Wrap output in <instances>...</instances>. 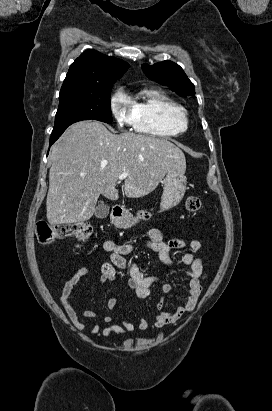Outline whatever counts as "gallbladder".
<instances>
[{"instance_id":"1","label":"gallbladder","mask_w":272,"mask_h":411,"mask_svg":"<svg viewBox=\"0 0 272 411\" xmlns=\"http://www.w3.org/2000/svg\"><path fill=\"white\" fill-rule=\"evenodd\" d=\"M109 214V206L106 205L104 202H100V204L96 207L95 216L97 218L103 219L106 218Z\"/></svg>"}]
</instances>
